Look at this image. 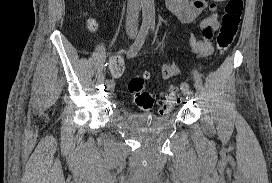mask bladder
<instances>
[{
  "label": "bladder",
  "instance_id": "31cf9c89",
  "mask_svg": "<svg viewBox=\"0 0 272 183\" xmlns=\"http://www.w3.org/2000/svg\"><path fill=\"white\" fill-rule=\"evenodd\" d=\"M123 119L128 128L145 133H157L166 129L171 122L170 115L157 116L150 113L124 111Z\"/></svg>",
  "mask_w": 272,
  "mask_h": 183
}]
</instances>
